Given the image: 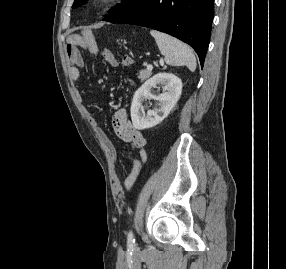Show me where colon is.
<instances>
[{
    "instance_id": "5ec220e1",
    "label": "colon",
    "mask_w": 286,
    "mask_h": 269,
    "mask_svg": "<svg viewBox=\"0 0 286 269\" xmlns=\"http://www.w3.org/2000/svg\"><path fill=\"white\" fill-rule=\"evenodd\" d=\"M86 41H89L88 39ZM134 62H138V57H133L132 54H125L122 66H134ZM126 88H131V83H126Z\"/></svg>"
}]
</instances>
